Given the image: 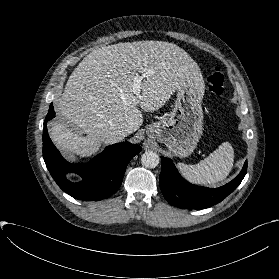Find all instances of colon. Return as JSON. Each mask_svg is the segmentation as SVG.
Returning <instances> with one entry per match:
<instances>
[{
    "mask_svg": "<svg viewBox=\"0 0 279 279\" xmlns=\"http://www.w3.org/2000/svg\"><path fill=\"white\" fill-rule=\"evenodd\" d=\"M208 89L209 91L216 95L220 96L224 91V82L225 76L221 67H214L207 77Z\"/></svg>",
    "mask_w": 279,
    "mask_h": 279,
    "instance_id": "colon-1",
    "label": "colon"
}]
</instances>
